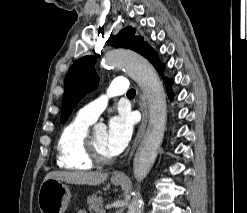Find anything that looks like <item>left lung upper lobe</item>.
Masks as SVG:
<instances>
[{"instance_id": "5c2ea615", "label": "left lung upper lobe", "mask_w": 247, "mask_h": 213, "mask_svg": "<svg viewBox=\"0 0 247 213\" xmlns=\"http://www.w3.org/2000/svg\"><path fill=\"white\" fill-rule=\"evenodd\" d=\"M136 30L127 27L121 30L112 40L115 48H127L138 52L152 63L159 62L155 51L136 35ZM96 56H85L77 60L69 69L65 78V91L62 101L61 122H65L79 100L98 84L94 65Z\"/></svg>"}]
</instances>
